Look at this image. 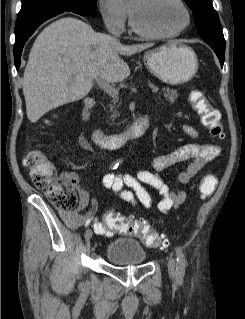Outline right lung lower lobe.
I'll return each mask as SVG.
<instances>
[{
    "label": "right lung lower lobe",
    "instance_id": "98d812e1",
    "mask_svg": "<svg viewBox=\"0 0 245 319\" xmlns=\"http://www.w3.org/2000/svg\"><path fill=\"white\" fill-rule=\"evenodd\" d=\"M65 11H72L74 13L80 14L76 10L72 9H50L41 11L35 14H32L25 18H19L16 20L15 25V44H14V59H15V66L18 69L21 63V53L23 46L25 45L28 38L34 33L37 27L42 24L44 21L48 20L51 17H54L60 13Z\"/></svg>",
    "mask_w": 245,
    "mask_h": 319
}]
</instances>
